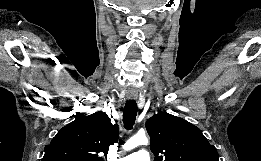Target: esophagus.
Returning <instances> with one entry per match:
<instances>
[{"instance_id":"34e87169","label":"esophagus","mask_w":261,"mask_h":161,"mask_svg":"<svg viewBox=\"0 0 261 161\" xmlns=\"http://www.w3.org/2000/svg\"><path fill=\"white\" fill-rule=\"evenodd\" d=\"M127 99L128 100H136L137 99V95L133 94V93H128L127 94Z\"/></svg>"}]
</instances>
